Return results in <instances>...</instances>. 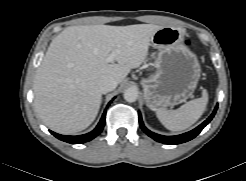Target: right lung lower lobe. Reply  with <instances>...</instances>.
Instances as JSON below:
<instances>
[{
    "mask_svg": "<svg viewBox=\"0 0 246 181\" xmlns=\"http://www.w3.org/2000/svg\"><path fill=\"white\" fill-rule=\"evenodd\" d=\"M105 119H106V111L103 113L102 118L100 120V122L98 123V125L96 126V128L84 135H79V136H64V135H60L57 134L55 132L50 131L56 138L71 143V144H81V143H85L88 142L90 140H92L93 138H95L97 135H99L101 133V131L103 130V127L105 125Z\"/></svg>",
    "mask_w": 246,
    "mask_h": 181,
    "instance_id": "98d812e1",
    "label": "right lung lower lobe"
}]
</instances>
